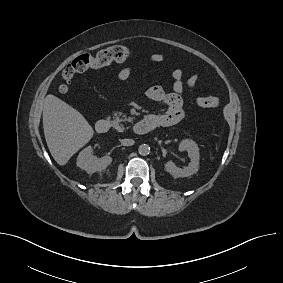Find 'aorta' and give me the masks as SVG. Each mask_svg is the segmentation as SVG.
Instances as JSON below:
<instances>
[{"mask_svg":"<svg viewBox=\"0 0 283 283\" xmlns=\"http://www.w3.org/2000/svg\"><path fill=\"white\" fill-rule=\"evenodd\" d=\"M138 152L142 156H147L150 153V147L147 144H141L138 148Z\"/></svg>","mask_w":283,"mask_h":283,"instance_id":"1","label":"aorta"}]
</instances>
